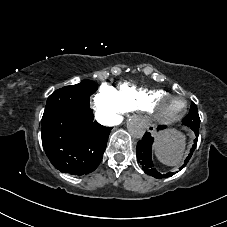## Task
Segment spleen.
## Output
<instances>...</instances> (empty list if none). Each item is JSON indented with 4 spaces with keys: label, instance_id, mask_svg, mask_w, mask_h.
<instances>
[{
    "label": "spleen",
    "instance_id": "spleen-1",
    "mask_svg": "<svg viewBox=\"0 0 227 227\" xmlns=\"http://www.w3.org/2000/svg\"><path fill=\"white\" fill-rule=\"evenodd\" d=\"M186 147V136L176 130L161 131L155 139L154 150L158 160L167 166H177L182 161Z\"/></svg>",
    "mask_w": 227,
    "mask_h": 227
}]
</instances>
